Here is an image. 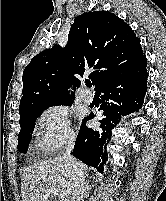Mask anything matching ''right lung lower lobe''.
Segmentation results:
<instances>
[{"mask_svg":"<svg viewBox=\"0 0 166 201\" xmlns=\"http://www.w3.org/2000/svg\"><path fill=\"white\" fill-rule=\"evenodd\" d=\"M146 57L133 66L109 75L97 88L101 95L100 110L103 114L99 120V129L87 128L86 121L94 118L91 113L82 122L74 150L76 158L89 166L103 171V163L108 159L106 141L111 130L119 122L121 115H127L142 108L147 91Z\"/></svg>","mask_w":166,"mask_h":201,"instance_id":"98d812e1","label":"right lung lower lobe"}]
</instances>
